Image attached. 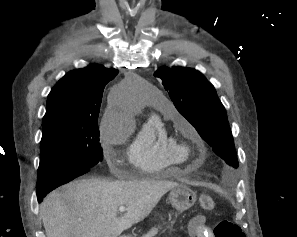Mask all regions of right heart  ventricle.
<instances>
[{
	"label": "right heart ventricle",
	"instance_id": "1",
	"mask_svg": "<svg viewBox=\"0 0 297 237\" xmlns=\"http://www.w3.org/2000/svg\"><path fill=\"white\" fill-rule=\"evenodd\" d=\"M159 112L162 116H170L173 111L161 106ZM128 157L135 168L153 174L182 164L188 152L183 143L168 135L161 116L152 115L145 120L131 141Z\"/></svg>",
	"mask_w": 297,
	"mask_h": 237
}]
</instances>
